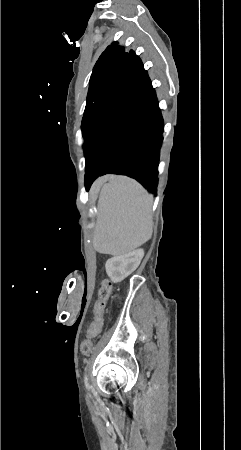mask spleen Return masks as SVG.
I'll return each mask as SVG.
<instances>
[{
  "label": "spleen",
  "instance_id": "obj_1",
  "mask_svg": "<svg viewBox=\"0 0 241 450\" xmlns=\"http://www.w3.org/2000/svg\"><path fill=\"white\" fill-rule=\"evenodd\" d=\"M153 196L127 176H112L101 188L93 247L100 254L124 256L152 236Z\"/></svg>",
  "mask_w": 241,
  "mask_h": 450
}]
</instances>
